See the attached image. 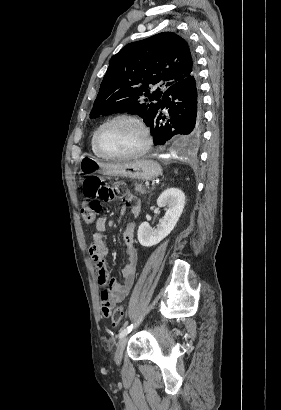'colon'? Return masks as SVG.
<instances>
[{"label": "colon", "mask_w": 281, "mask_h": 410, "mask_svg": "<svg viewBox=\"0 0 281 410\" xmlns=\"http://www.w3.org/2000/svg\"><path fill=\"white\" fill-rule=\"evenodd\" d=\"M115 195L125 196L126 187L123 184H116L111 188L103 179L97 176L86 178L83 182V220L88 224L92 223L100 210V200H110L114 198ZM123 318L124 308L123 306H119L112 314V326L118 327Z\"/></svg>", "instance_id": "obj_1"}]
</instances>
